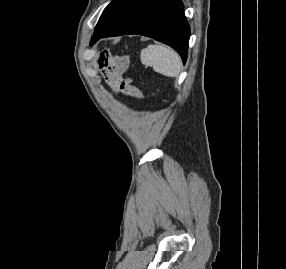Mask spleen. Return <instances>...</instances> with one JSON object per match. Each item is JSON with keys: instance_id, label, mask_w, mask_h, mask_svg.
<instances>
[{"instance_id": "obj_1", "label": "spleen", "mask_w": 286, "mask_h": 269, "mask_svg": "<svg viewBox=\"0 0 286 269\" xmlns=\"http://www.w3.org/2000/svg\"><path fill=\"white\" fill-rule=\"evenodd\" d=\"M141 62L153 70L169 77H177L181 69L179 55L170 48L161 45H149L141 51Z\"/></svg>"}]
</instances>
